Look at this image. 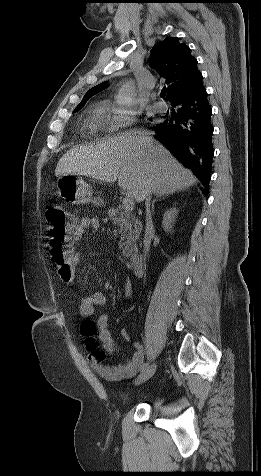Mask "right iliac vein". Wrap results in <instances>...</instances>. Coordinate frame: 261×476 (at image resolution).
Listing matches in <instances>:
<instances>
[{
  "mask_svg": "<svg viewBox=\"0 0 261 476\" xmlns=\"http://www.w3.org/2000/svg\"><path fill=\"white\" fill-rule=\"evenodd\" d=\"M155 371H156V364H151L146 369H144L142 373H140V375L135 380V383L139 385L147 381L149 378H151L154 375Z\"/></svg>",
  "mask_w": 261,
  "mask_h": 476,
  "instance_id": "obj_1",
  "label": "right iliac vein"
}]
</instances>
